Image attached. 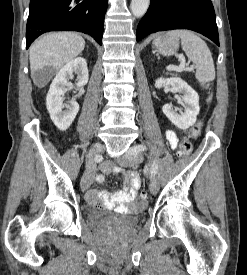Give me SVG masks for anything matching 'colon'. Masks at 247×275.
Returning <instances> with one entry per match:
<instances>
[{
    "label": "colon",
    "mask_w": 247,
    "mask_h": 275,
    "mask_svg": "<svg viewBox=\"0 0 247 275\" xmlns=\"http://www.w3.org/2000/svg\"><path fill=\"white\" fill-rule=\"evenodd\" d=\"M202 124L197 123L193 127H191L188 132L186 133L185 137L181 140L179 144V150L177 152L178 156L186 157L188 156L193 149L191 139L198 137L201 133ZM138 205L140 208H144L147 205V193L142 191L138 198Z\"/></svg>",
    "instance_id": "colon-1"
}]
</instances>
